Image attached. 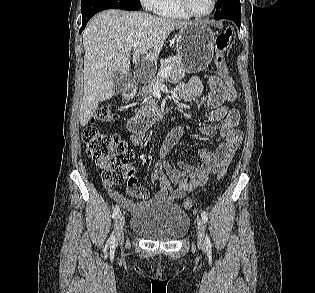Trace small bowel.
Here are the masks:
<instances>
[{
  "label": "small bowel",
  "instance_id": "small-bowel-1",
  "mask_svg": "<svg viewBox=\"0 0 315 293\" xmlns=\"http://www.w3.org/2000/svg\"><path fill=\"white\" fill-rule=\"evenodd\" d=\"M221 80L222 78L219 76H206L210 91L205 96L202 95L203 83L198 76H193L187 83H181L177 87L178 95L184 101L189 103L197 101V108H209L206 119L214 122L215 126H202L199 131L205 136L219 133L221 141L216 151L200 149L198 151L199 164L182 160L173 164L167 161L166 155L184 133V127L177 126L162 144L159 152L160 159L155 164L150 176L153 183L159 184L160 190L151 200H146L150 192L140 187L141 190L135 192V195L142 200L134 202L115 190L112 184L105 183L112 199L133 213L141 211L150 202H174L204 185L210 175L215 174L223 165L229 164L241 144L242 133L237 128L240 120L239 113L234 107L228 105L236 99V93L229 94ZM143 140L144 135L140 132L130 136V142L133 145H139Z\"/></svg>",
  "mask_w": 315,
  "mask_h": 293
}]
</instances>
